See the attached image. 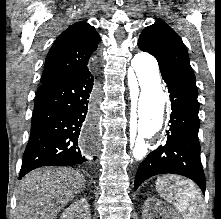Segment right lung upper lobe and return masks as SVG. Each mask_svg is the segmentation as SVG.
Instances as JSON below:
<instances>
[{"label":"right lung upper lobe","instance_id":"obj_1","mask_svg":"<svg viewBox=\"0 0 221 219\" xmlns=\"http://www.w3.org/2000/svg\"><path fill=\"white\" fill-rule=\"evenodd\" d=\"M100 41L94 27L76 22L63 31L46 57L41 84L56 82L86 70Z\"/></svg>","mask_w":221,"mask_h":219}]
</instances>
